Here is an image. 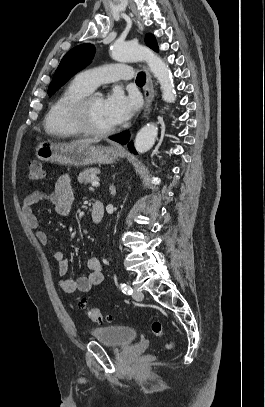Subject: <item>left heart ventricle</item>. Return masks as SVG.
Segmentation results:
<instances>
[{"label":"left heart ventricle","mask_w":265,"mask_h":407,"mask_svg":"<svg viewBox=\"0 0 265 407\" xmlns=\"http://www.w3.org/2000/svg\"><path fill=\"white\" fill-rule=\"evenodd\" d=\"M89 122L90 125L97 130H107L114 127L107 115L102 98H96L91 103L89 108Z\"/></svg>","instance_id":"1"}]
</instances>
